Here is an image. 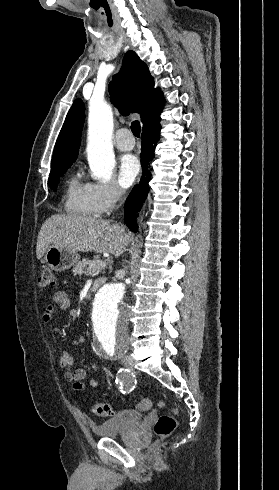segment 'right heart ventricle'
<instances>
[{"instance_id":"right-heart-ventricle-1","label":"right heart ventricle","mask_w":279,"mask_h":490,"mask_svg":"<svg viewBox=\"0 0 279 490\" xmlns=\"http://www.w3.org/2000/svg\"><path fill=\"white\" fill-rule=\"evenodd\" d=\"M66 208L69 213L82 217L95 216L89 201L87 186L71 179L67 187Z\"/></svg>"}]
</instances>
